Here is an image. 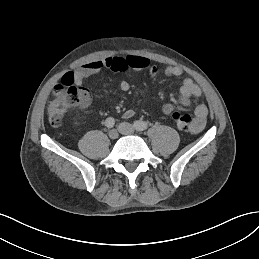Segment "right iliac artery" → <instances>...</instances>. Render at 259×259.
I'll return each mask as SVG.
<instances>
[{
	"instance_id": "obj_1",
	"label": "right iliac artery",
	"mask_w": 259,
	"mask_h": 259,
	"mask_svg": "<svg viewBox=\"0 0 259 259\" xmlns=\"http://www.w3.org/2000/svg\"><path fill=\"white\" fill-rule=\"evenodd\" d=\"M114 124H115V120L112 117L107 118L106 121H105V125L108 128H112L114 126Z\"/></svg>"
}]
</instances>
